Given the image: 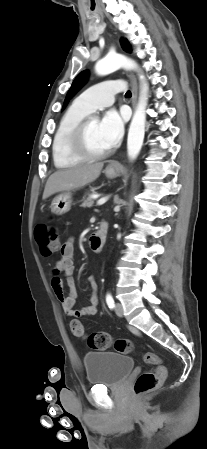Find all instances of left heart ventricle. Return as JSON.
Returning <instances> with one entry per match:
<instances>
[{"label":"left heart ventricle","mask_w":207,"mask_h":449,"mask_svg":"<svg viewBox=\"0 0 207 449\" xmlns=\"http://www.w3.org/2000/svg\"><path fill=\"white\" fill-rule=\"evenodd\" d=\"M86 140L88 147L92 151L100 152L109 148L100 132L99 122L96 120L90 122L87 128Z\"/></svg>","instance_id":"obj_1"}]
</instances>
